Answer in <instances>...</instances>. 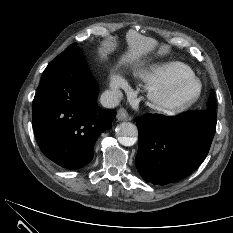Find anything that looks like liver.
I'll return each mask as SVG.
<instances>
[{"label":"liver","mask_w":233,"mask_h":233,"mask_svg":"<svg viewBox=\"0 0 233 233\" xmlns=\"http://www.w3.org/2000/svg\"><path fill=\"white\" fill-rule=\"evenodd\" d=\"M127 41L130 49L125 57L121 59V64H124L126 62L132 63L136 60H139V57L145 51L149 50L153 44V41L151 39L139 35L135 32H131L127 35Z\"/></svg>","instance_id":"1"}]
</instances>
